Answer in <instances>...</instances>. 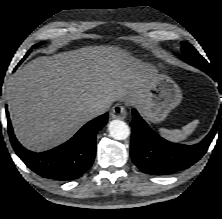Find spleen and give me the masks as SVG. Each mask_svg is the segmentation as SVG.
<instances>
[{
    "label": "spleen",
    "mask_w": 222,
    "mask_h": 219,
    "mask_svg": "<svg viewBox=\"0 0 222 219\" xmlns=\"http://www.w3.org/2000/svg\"><path fill=\"white\" fill-rule=\"evenodd\" d=\"M199 124L198 120H194L187 125H185L181 130H168V129H160V134L172 141V142H179L185 140L188 135L192 134V132L196 129L197 125Z\"/></svg>",
    "instance_id": "1"
}]
</instances>
